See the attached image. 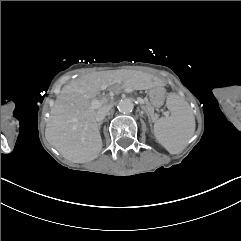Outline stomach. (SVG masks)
<instances>
[{"mask_svg":"<svg viewBox=\"0 0 241 241\" xmlns=\"http://www.w3.org/2000/svg\"><path fill=\"white\" fill-rule=\"evenodd\" d=\"M149 99L153 107H161L165 101V90L162 87L150 90Z\"/></svg>","mask_w":241,"mask_h":241,"instance_id":"obj_1","label":"stomach"}]
</instances>
